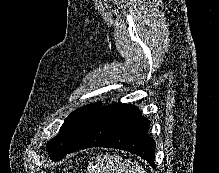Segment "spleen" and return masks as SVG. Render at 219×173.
Wrapping results in <instances>:
<instances>
[{
	"label": "spleen",
	"instance_id": "obj_1",
	"mask_svg": "<svg viewBox=\"0 0 219 173\" xmlns=\"http://www.w3.org/2000/svg\"><path fill=\"white\" fill-rule=\"evenodd\" d=\"M89 173H145V170L130 160H123L120 157L111 158L104 155L98 158L95 164L88 166Z\"/></svg>",
	"mask_w": 219,
	"mask_h": 173
}]
</instances>
